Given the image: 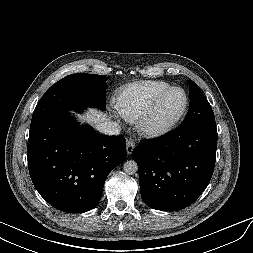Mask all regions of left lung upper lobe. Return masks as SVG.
I'll list each match as a JSON object with an SVG mask.
<instances>
[{
	"mask_svg": "<svg viewBox=\"0 0 253 253\" xmlns=\"http://www.w3.org/2000/svg\"><path fill=\"white\" fill-rule=\"evenodd\" d=\"M189 96V110L185 120L179 127L188 129L208 122H215L214 112L209 102L202 94L198 85L192 80L189 81Z\"/></svg>",
	"mask_w": 253,
	"mask_h": 253,
	"instance_id": "obj_1",
	"label": "left lung upper lobe"
}]
</instances>
